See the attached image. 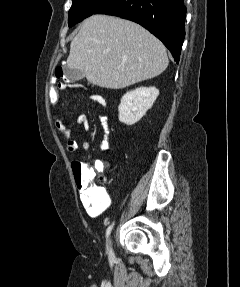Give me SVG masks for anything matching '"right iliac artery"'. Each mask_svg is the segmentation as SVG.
I'll return each instance as SVG.
<instances>
[{
    "instance_id": "obj_1",
    "label": "right iliac artery",
    "mask_w": 240,
    "mask_h": 287,
    "mask_svg": "<svg viewBox=\"0 0 240 287\" xmlns=\"http://www.w3.org/2000/svg\"><path fill=\"white\" fill-rule=\"evenodd\" d=\"M114 226V223H112L106 230V243H107V250H108V238H109V235L112 231V228Z\"/></svg>"
}]
</instances>
